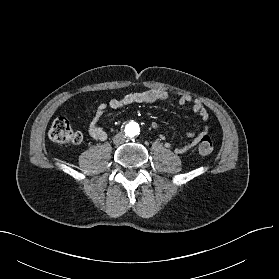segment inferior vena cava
<instances>
[{
  "label": "inferior vena cava",
  "mask_w": 279,
  "mask_h": 279,
  "mask_svg": "<svg viewBox=\"0 0 279 279\" xmlns=\"http://www.w3.org/2000/svg\"><path fill=\"white\" fill-rule=\"evenodd\" d=\"M125 135L122 133H118L113 137L114 144H122L125 141Z\"/></svg>",
  "instance_id": "1"
}]
</instances>
